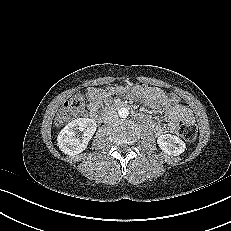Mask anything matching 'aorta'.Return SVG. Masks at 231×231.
<instances>
[{
    "instance_id": "obj_1",
    "label": "aorta",
    "mask_w": 231,
    "mask_h": 231,
    "mask_svg": "<svg viewBox=\"0 0 231 231\" xmlns=\"http://www.w3.org/2000/svg\"><path fill=\"white\" fill-rule=\"evenodd\" d=\"M118 115H119V117H121V118H126V117L129 115V111H128L127 108H120V109L118 110Z\"/></svg>"
}]
</instances>
